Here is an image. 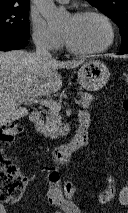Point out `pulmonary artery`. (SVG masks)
<instances>
[{
  "label": "pulmonary artery",
  "instance_id": "pulmonary-artery-1",
  "mask_svg": "<svg viewBox=\"0 0 128 213\" xmlns=\"http://www.w3.org/2000/svg\"><path fill=\"white\" fill-rule=\"evenodd\" d=\"M56 1H58L60 3H67L69 0H56Z\"/></svg>",
  "mask_w": 128,
  "mask_h": 213
}]
</instances>
